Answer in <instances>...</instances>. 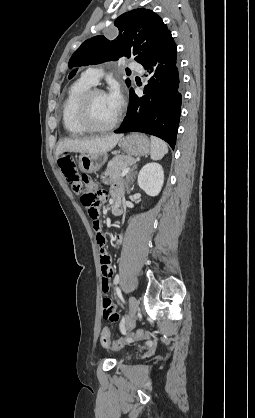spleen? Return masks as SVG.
<instances>
[{
  "mask_svg": "<svg viewBox=\"0 0 255 418\" xmlns=\"http://www.w3.org/2000/svg\"><path fill=\"white\" fill-rule=\"evenodd\" d=\"M168 153V146L162 139L151 136V152L150 156L153 160H160Z\"/></svg>",
  "mask_w": 255,
  "mask_h": 418,
  "instance_id": "obj_1",
  "label": "spleen"
}]
</instances>
